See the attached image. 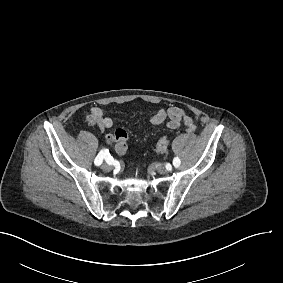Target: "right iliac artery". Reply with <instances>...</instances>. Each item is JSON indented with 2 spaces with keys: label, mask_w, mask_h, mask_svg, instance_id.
I'll list each match as a JSON object with an SVG mask.
<instances>
[{
  "label": "right iliac artery",
  "mask_w": 283,
  "mask_h": 283,
  "mask_svg": "<svg viewBox=\"0 0 283 283\" xmlns=\"http://www.w3.org/2000/svg\"><path fill=\"white\" fill-rule=\"evenodd\" d=\"M110 154H109V150L108 149H104V150H101L99 152V154L97 155V157L95 158V161H94V164L96 166H100L103 162V159L108 157Z\"/></svg>",
  "instance_id": "1"
}]
</instances>
